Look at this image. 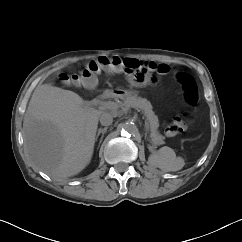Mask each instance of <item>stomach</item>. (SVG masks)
<instances>
[{"label": "stomach", "mask_w": 242, "mask_h": 242, "mask_svg": "<svg viewBox=\"0 0 242 242\" xmlns=\"http://www.w3.org/2000/svg\"><path fill=\"white\" fill-rule=\"evenodd\" d=\"M137 95V92L136 91H132V90H124L121 94V97L123 98H127V97H130V96H136Z\"/></svg>", "instance_id": "1"}]
</instances>
